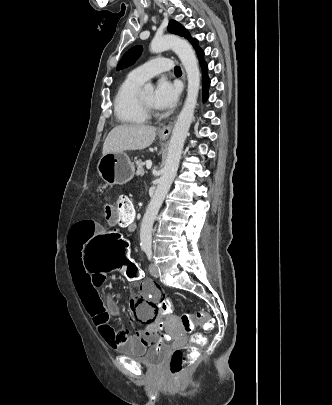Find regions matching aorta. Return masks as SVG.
<instances>
[{
  "label": "aorta",
  "mask_w": 332,
  "mask_h": 405,
  "mask_svg": "<svg viewBox=\"0 0 332 405\" xmlns=\"http://www.w3.org/2000/svg\"><path fill=\"white\" fill-rule=\"evenodd\" d=\"M168 49L173 50L178 55L185 68L188 80L187 97L172 131L162 175L158 180L155 194L142 220L140 230V245L142 247L151 246L154 220L177 173L184 142L193 120L200 88L201 75L192 46L187 41L174 35L154 37L151 41L150 51L152 53H160ZM145 88H149V86L147 85Z\"/></svg>",
  "instance_id": "762f6f07"
}]
</instances>
